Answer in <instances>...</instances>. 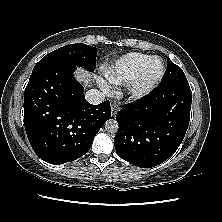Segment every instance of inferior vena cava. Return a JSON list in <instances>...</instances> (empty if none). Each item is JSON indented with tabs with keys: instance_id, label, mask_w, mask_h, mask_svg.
Masks as SVG:
<instances>
[{
	"instance_id": "inferior-vena-cava-1",
	"label": "inferior vena cava",
	"mask_w": 222,
	"mask_h": 222,
	"mask_svg": "<svg viewBox=\"0 0 222 222\" xmlns=\"http://www.w3.org/2000/svg\"><path fill=\"white\" fill-rule=\"evenodd\" d=\"M85 98L90 104L98 105L104 101L105 95L99 90L90 89L86 92Z\"/></svg>"
}]
</instances>
